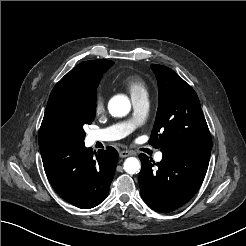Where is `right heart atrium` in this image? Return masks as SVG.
<instances>
[{
	"mask_svg": "<svg viewBox=\"0 0 246 246\" xmlns=\"http://www.w3.org/2000/svg\"><path fill=\"white\" fill-rule=\"evenodd\" d=\"M105 109V100L101 94H98L95 100V113L101 114Z\"/></svg>",
	"mask_w": 246,
	"mask_h": 246,
	"instance_id": "obj_1",
	"label": "right heart atrium"
}]
</instances>
